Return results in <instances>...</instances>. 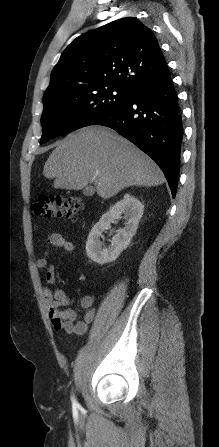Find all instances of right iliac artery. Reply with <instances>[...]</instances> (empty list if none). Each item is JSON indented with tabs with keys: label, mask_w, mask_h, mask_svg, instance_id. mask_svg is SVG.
<instances>
[{
	"label": "right iliac artery",
	"mask_w": 219,
	"mask_h": 447,
	"mask_svg": "<svg viewBox=\"0 0 219 447\" xmlns=\"http://www.w3.org/2000/svg\"><path fill=\"white\" fill-rule=\"evenodd\" d=\"M72 405H73V407L79 406V404L77 403V401L74 398H72Z\"/></svg>",
	"instance_id": "82829eb1"
}]
</instances>
